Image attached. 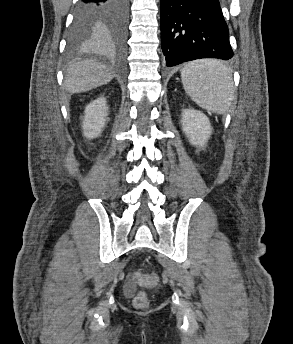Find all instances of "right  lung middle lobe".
<instances>
[{
  "label": "right lung middle lobe",
  "instance_id": "right-lung-middle-lobe-1",
  "mask_svg": "<svg viewBox=\"0 0 293 344\" xmlns=\"http://www.w3.org/2000/svg\"><path fill=\"white\" fill-rule=\"evenodd\" d=\"M96 20L90 14L76 9L74 23L72 25L69 44L71 48H79L81 46L93 45L94 29Z\"/></svg>",
  "mask_w": 293,
  "mask_h": 344
}]
</instances>
